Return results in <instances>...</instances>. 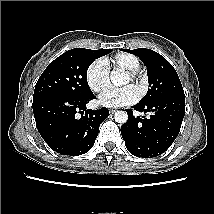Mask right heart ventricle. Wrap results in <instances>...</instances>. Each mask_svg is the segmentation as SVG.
<instances>
[{
    "mask_svg": "<svg viewBox=\"0 0 214 214\" xmlns=\"http://www.w3.org/2000/svg\"><path fill=\"white\" fill-rule=\"evenodd\" d=\"M108 66H114L117 69L124 70L126 72H137L140 69V60L137 56L121 52L114 56L113 59L104 60Z\"/></svg>",
    "mask_w": 214,
    "mask_h": 214,
    "instance_id": "1",
    "label": "right heart ventricle"
}]
</instances>
